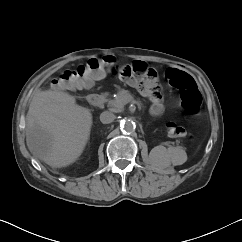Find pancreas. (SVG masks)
Returning <instances> with one entry per match:
<instances>
[{"label":"pancreas","instance_id":"pancreas-1","mask_svg":"<svg viewBox=\"0 0 242 242\" xmlns=\"http://www.w3.org/2000/svg\"><path fill=\"white\" fill-rule=\"evenodd\" d=\"M133 100L132 95L127 90H120L114 99L108 100V106L115 112H121L124 106Z\"/></svg>","mask_w":242,"mask_h":242}]
</instances>
